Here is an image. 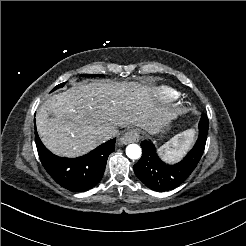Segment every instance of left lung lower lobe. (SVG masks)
<instances>
[{
    "instance_id": "0a47b994",
    "label": "left lung lower lobe",
    "mask_w": 246,
    "mask_h": 246,
    "mask_svg": "<svg viewBox=\"0 0 246 246\" xmlns=\"http://www.w3.org/2000/svg\"><path fill=\"white\" fill-rule=\"evenodd\" d=\"M208 126V118L205 114H202L196 144L181 162L174 165L166 164L159 158L152 142L142 141V157L134 165L136 176L148 188L155 191L170 190L179 186L193 172L203 155Z\"/></svg>"
}]
</instances>
